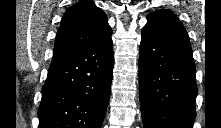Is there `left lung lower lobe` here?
Here are the masks:
<instances>
[{
  "instance_id": "0a47b994",
  "label": "left lung lower lobe",
  "mask_w": 221,
  "mask_h": 128,
  "mask_svg": "<svg viewBox=\"0 0 221 128\" xmlns=\"http://www.w3.org/2000/svg\"><path fill=\"white\" fill-rule=\"evenodd\" d=\"M139 95L144 128H192L195 65L184 26L149 15L141 32Z\"/></svg>"
}]
</instances>
